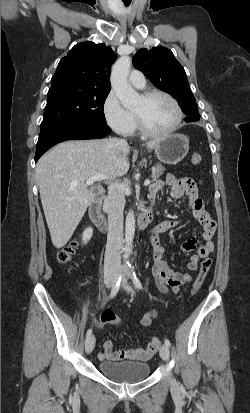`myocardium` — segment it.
<instances>
[{
	"instance_id": "obj_1",
	"label": "myocardium",
	"mask_w": 250,
	"mask_h": 413,
	"mask_svg": "<svg viewBox=\"0 0 250 413\" xmlns=\"http://www.w3.org/2000/svg\"><path fill=\"white\" fill-rule=\"evenodd\" d=\"M157 95L167 98L173 104V106L175 107L176 113H177V118H176L174 125L169 130L165 132H154V131H151L147 127L143 116L140 113L135 112V117H136L137 126L139 128V131L141 132L143 136L147 138H153V139L165 138V137L172 135L174 132L178 130L182 122V119H183L182 108L180 104L178 103V101L170 93L163 91V90H159V89H151V90L145 91L142 95V98H144L145 100H149L152 97L157 96Z\"/></svg>"
}]
</instances>
